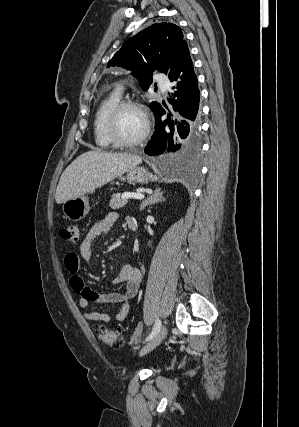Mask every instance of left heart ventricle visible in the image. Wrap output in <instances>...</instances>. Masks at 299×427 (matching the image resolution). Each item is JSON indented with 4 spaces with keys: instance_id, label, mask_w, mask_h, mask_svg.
Masks as SVG:
<instances>
[{
    "instance_id": "b2bd125f",
    "label": "left heart ventricle",
    "mask_w": 299,
    "mask_h": 427,
    "mask_svg": "<svg viewBox=\"0 0 299 427\" xmlns=\"http://www.w3.org/2000/svg\"><path fill=\"white\" fill-rule=\"evenodd\" d=\"M144 126L142 114L133 108L124 109L117 118V132L124 140L137 138L143 132Z\"/></svg>"
}]
</instances>
